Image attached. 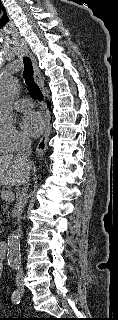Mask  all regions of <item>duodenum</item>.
<instances>
[{
  "label": "duodenum",
  "instance_id": "obj_1",
  "mask_svg": "<svg viewBox=\"0 0 118 320\" xmlns=\"http://www.w3.org/2000/svg\"><path fill=\"white\" fill-rule=\"evenodd\" d=\"M8 244L6 241H0V261L7 256Z\"/></svg>",
  "mask_w": 118,
  "mask_h": 320
}]
</instances>
